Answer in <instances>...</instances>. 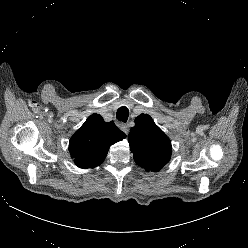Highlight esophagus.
<instances>
[{
  "label": "esophagus",
  "instance_id": "34e87169",
  "mask_svg": "<svg viewBox=\"0 0 248 248\" xmlns=\"http://www.w3.org/2000/svg\"><path fill=\"white\" fill-rule=\"evenodd\" d=\"M120 129L127 135L129 132L128 126L126 124H121Z\"/></svg>",
  "mask_w": 248,
  "mask_h": 248
}]
</instances>
